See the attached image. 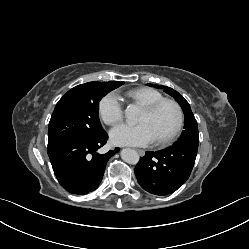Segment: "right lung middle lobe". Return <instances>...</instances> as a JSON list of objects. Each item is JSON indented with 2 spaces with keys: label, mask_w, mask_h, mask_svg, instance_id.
I'll list each match as a JSON object with an SVG mask.
<instances>
[{
  "label": "right lung middle lobe",
  "mask_w": 249,
  "mask_h": 249,
  "mask_svg": "<svg viewBox=\"0 0 249 249\" xmlns=\"http://www.w3.org/2000/svg\"><path fill=\"white\" fill-rule=\"evenodd\" d=\"M115 88L102 82H89L66 93L57 103L49 122L48 149L72 140L93 139L102 134L104 129L98 117V104L103 96Z\"/></svg>",
  "instance_id": "1"
}]
</instances>
